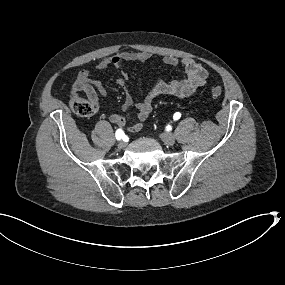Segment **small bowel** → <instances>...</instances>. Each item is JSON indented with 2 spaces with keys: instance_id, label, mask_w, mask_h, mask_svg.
Returning a JSON list of instances; mask_svg holds the SVG:
<instances>
[{
  "instance_id": "obj_1",
  "label": "small bowel",
  "mask_w": 285,
  "mask_h": 285,
  "mask_svg": "<svg viewBox=\"0 0 285 285\" xmlns=\"http://www.w3.org/2000/svg\"><path fill=\"white\" fill-rule=\"evenodd\" d=\"M150 57L151 55L148 52L125 51L103 58L97 64V68L99 70H105L109 67L120 69L126 62H147ZM163 62L169 66H178L181 64L184 67L185 76L170 82L159 80L151 87L145 98L135 104L137 120L129 126L128 129L130 132L135 133L141 130L144 122L152 111L153 102L159 96L171 95L178 98L189 97L206 83L208 77L207 70L201 63L191 58L167 56L163 59ZM117 84L125 93L124 101L121 106L122 113H125L134 106V101L127 91L126 78L124 76L117 79ZM80 93H84L98 109V96L105 97L108 90L100 81L93 79L88 71L82 70L76 76L71 87V95L73 97L79 96ZM122 113L112 114L109 117L110 122L119 127H124L126 120Z\"/></svg>"
}]
</instances>
